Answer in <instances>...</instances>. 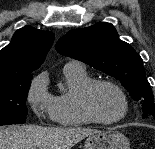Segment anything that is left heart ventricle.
<instances>
[{"mask_svg": "<svg viewBox=\"0 0 155 149\" xmlns=\"http://www.w3.org/2000/svg\"><path fill=\"white\" fill-rule=\"evenodd\" d=\"M92 105L97 115L105 120L118 117L123 110V103L118 92L108 86H98L92 95Z\"/></svg>", "mask_w": 155, "mask_h": 149, "instance_id": "obj_1", "label": "left heart ventricle"}]
</instances>
